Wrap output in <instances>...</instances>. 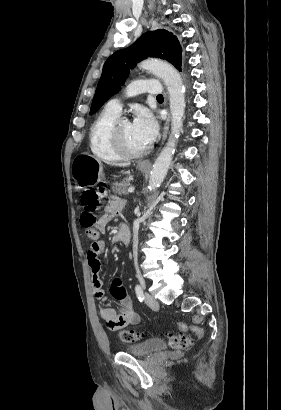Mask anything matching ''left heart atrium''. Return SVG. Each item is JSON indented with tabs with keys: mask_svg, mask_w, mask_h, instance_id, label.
Masks as SVG:
<instances>
[{
	"mask_svg": "<svg viewBox=\"0 0 281 410\" xmlns=\"http://www.w3.org/2000/svg\"><path fill=\"white\" fill-rule=\"evenodd\" d=\"M132 128L136 137L145 146L151 144L158 132V124L154 116L146 108H139L132 122Z\"/></svg>",
	"mask_w": 281,
	"mask_h": 410,
	"instance_id": "left-heart-atrium-1",
	"label": "left heart atrium"
}]
</instances>
